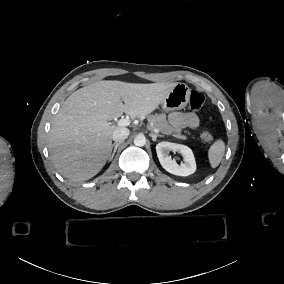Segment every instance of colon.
I'll return each mask as SVG.
<instances>
[{
  "label": "colon",
  "mask_w": 284,
  "mask_h": 284,
  "mask_svg": "<svg viewBox=\"0 0 284 284\" xmlns=\"http://www.w3.org/2000/svg\"><path fill=\"white\" fill-rule=\"evenodd\" d=\"M204 96L201 92L197 90H191L189 94V105L192 109L198 110L200 109L204 104ZM201 139L204 142H211L212 141V135L208 132H204L201 135Z\"/></svg>",
  "instance_id": "1"
}]
</instances>
